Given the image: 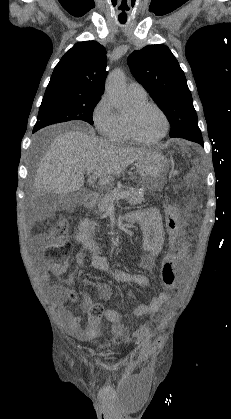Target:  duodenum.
Segmentation results:
<instances>
[{
  "mask_svg": "<svg viewBox=\"0 0 231 419\" xmlns=\"http://www.w3.org/2000/svg\"><path fill=\"white\" fill-rule=\"evenodd\" d=\"M95 202H96V195L94 193H87L84 199L85 206L88 208L93 207ZM127 221L129 223L132 222V219L130 218V216L127 218Z\"/></svg>",
  "mask_w": 231,
  "mask_h": 419,
  "instance_id": "1",
  "label": "duodenum"
}]
</instances>
